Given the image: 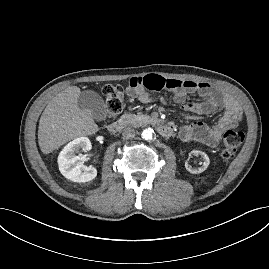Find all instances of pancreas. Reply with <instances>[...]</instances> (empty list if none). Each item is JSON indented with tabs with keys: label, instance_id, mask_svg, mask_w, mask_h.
Masks as SVG:
<instances>
[{
	"label": "pancreas",
	"instance_id": "1",
	"mask_svg": "<svg viewBox=\"0 0 269 269\" xmlns=\"http://www.w3.org/2000/svg\"><path fill=\"white\" fill-rule=\"evenodd\" d=\"M148 116L144 114H124L120 118V122L127 126L140 127L147 123Z\"/></svg>",
	"mask_w": 269,
	"mask_h": 269
}]
</instances>
